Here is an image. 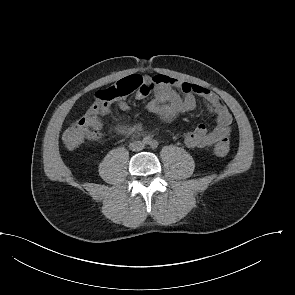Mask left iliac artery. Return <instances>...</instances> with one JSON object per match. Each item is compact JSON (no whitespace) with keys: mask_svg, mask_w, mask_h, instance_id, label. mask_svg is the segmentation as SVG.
Returning <instances> with one entry per match:
<instances>
[{"mask_svg":"<svg viewBox=\"0 0 295 295\" xmlns=\"http://www.w3.org/2000/svg\"><path fill=\"white\" fill-rule=\"evenodd\" d=\"M159 143L156 140H152L150 143V146L152 149H156L158 147Z\"/></svg>","mask_w":295,"mask_h":295,"instance_id":"left-iliac-artery-1","label":"left iliac artery"}]
</instances>
